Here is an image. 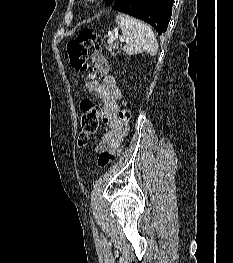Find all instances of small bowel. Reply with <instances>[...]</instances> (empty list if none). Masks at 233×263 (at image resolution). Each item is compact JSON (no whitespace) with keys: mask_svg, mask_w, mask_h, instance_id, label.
<instances>
[{"mask_svg":"<svg viewBox=\"0 0 233 263\" xmlns=\"http://www.w3.org/2000/svg\"><path fill=\"white\" fill-rule=\"evenodd\" d=\"M94 71L99 74L98 78L83 79L82 83L87 91L99 98L102 103L101 114L107 125L103 133L98 151L115 152L121 148L125 140L123 123L119 118V101L122 97L116 79L108 74L109 65L106 58L100 53L91 56Z\"/></svg>","mask_w":233,"mask_h":263,"instance_id":"small-bowel-1","label":"small bowel"}]
</instances>
